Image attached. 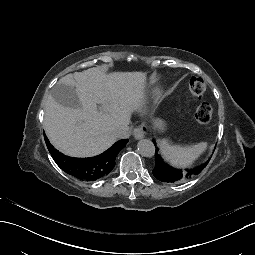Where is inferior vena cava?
Listing matches in <instances>:
<instances>
[{
    "mask_svg": "<svg viewBox=\"0 0 255 255\" xmlns=\"http://www.w3.org/2000/svg\"><path fill=\"white\" fill-rule=\"evenodd\" d=\"M133 127L129 123H123L116 132L117 139H128L131 136Z\"/></svg>",
    "mask_w": 255,
    "mask_h": 255,
    "instance_id": "1",
    "label": "inferior vena cava"
}]
</instances>
